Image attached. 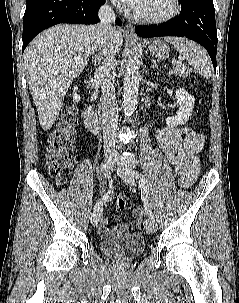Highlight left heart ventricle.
<instances>
[{
    "label": "left heart ventricle",
    "instance_id": "left-heart-ventricle-1",
    "mask_svg": "<svg viewBox=\"0 0 239 303\" xmlns=\"http://www.w3.org/2000/svg\"><path fill=\"white\" fill-rule=\"evenodd\" d=\"M170 0H146L144 6L138 10L141 14L160 15L171 9Z\"/></svg>",
    "mask_w": 239,
    "mask_h": 303
}]
</instances>
